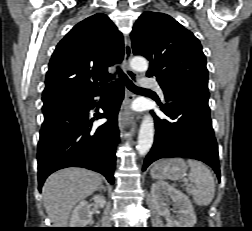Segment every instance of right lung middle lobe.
<instances>
[{"mask_svg": "<svg viewBox=\"0 0 252 231\" xmlns=\"http://www.w3.org/2000/svg\"><path fill=\"white\" fill-rule=\"evenodd\" d=\"M73 99L74 98H59V99L44 102V105H43L44 116L50 115L54 112H57L67 107L68 105L72 103Z\"/></svg>", "mask_w": 252, "mask_h": 231, "instance_id": "1", "label": "right lung middle lobe"}]
</instances>
